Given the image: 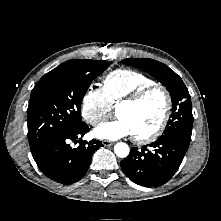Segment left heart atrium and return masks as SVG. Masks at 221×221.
Listing matches in <instances>:
<instances>
[{"mask_svg":"<svg viewBox=\"0 0 221 221\" xmlns=\"http://www.w3.org/2000/svg\"><path fill=\"white\" fill-rule=\"evenodd\" d=\"M93 135L104 140H117L129 135H133L129 124L122 118L105 122L94 129Z\"/></svg>","mask_w":221,"mask_h":221,"instance_id":"obj_1","label":"left heart atrium"}]
</instances>
